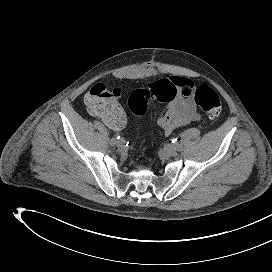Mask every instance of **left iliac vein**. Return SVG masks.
<instances>
[{
	"mask_svg": "<svg viewBox=\"0 0 272 272\" xmlns=\"http://www.w3.org/2000/svg\"><path fill=\"white\" fill-rule=\"evenodd\" d=\"M164 153L167 155V156H170V157H174L177 155V152L175 149H173L171 146L167 145L165 148H164Z\"/></svg>",
	"mask_w": 272,
	"mask_h": 272,
	"instance_id": "obj_1",
	"label": "left iliac vein"
}]
</instances>
